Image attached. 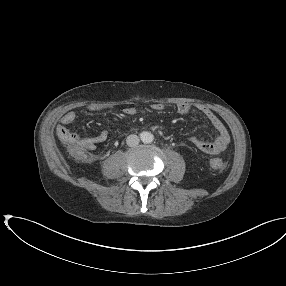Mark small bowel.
Here are the masks:
<instances>
[{
	"mask_svg": "<svg viewBox=\"0 0 286 286\" xmlns=\"http://www.w3.org/2000/svg\"><path fill=\"white\" fill-rule=\"evenodd\" d=\"M151 108L154 111L159 112L164 109V105L158 102L152 104ZM175 108L179 114H187L191 111L192 106L189 103L180 102L176 105ZM196 108L206 116V118L210 121V123L217 131L218 135L212 141H205L199 137L194 136L191 138V142L194 144L195 147L205 153L217 154L224 151L230 142V136L226 126L208 107L204 105H197ZM89 111L95 113L101 111V108L98 106H91L89 108ZM124 113L127 116H133L136 113V109L134 107H128L124 109ZM76 120L77 115L74 111L66 112L61 118V124L56 127V134L58 138L64 140L71 135H75L78 138L80 146L85 151L90 152L94 151L97 148L98 144L103 143L108 139V132L106 130H103L98 134L90 137H82L76 133L71 132L68 127L73 125Z\"/></svg>",
	"mask_w": 286,
	"mask_h": 286,
	"instance_id": "obj_1",
	"label": "small bowel"
}]
</instances>
